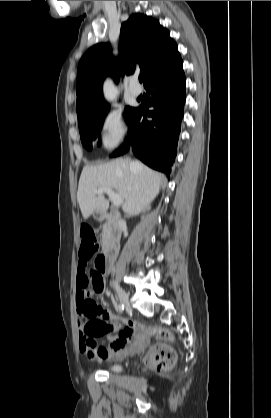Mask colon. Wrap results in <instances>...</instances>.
Listing matches in <instances>:
<instances>
[{
  "mask_svg": "<svg viewBox=\"0 0 271 418\" xmlns=\"http://www.w3.org/2000/svg\"><path fill=\"white\" fill-rule=\"evenodd\" d=\"M81 245L79 256L81 260L88 261L91 259L97 250V238L94 229L89 225H84L80 231ZM95 268H98L97 264ZM157 336L166 341L169 339V334L162 329H155ZM176 361L175 352L166 344L159 345L154 348L148 355V364L156 371L163 373L174 366Z\"/></svg>",
  "mask_w": 271,
  "mask_h": 418,
  "instance_id": "colon-1",
  "label": "colon"
}]
</instances>
